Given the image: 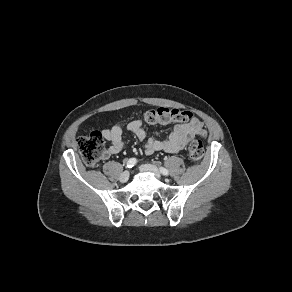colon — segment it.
I'll list each match as a JSON object with an SVG mask.
<instances>
[{
  "label": "colon",
  "instance_id": "obj_1",
  "mask_svg": "<svg viewBox=\"0 0 292 292\" xmlns=\"http://www.w3.org/2000/svg\"><path fill=\"white\" fill-rule=\"evenodd\" d=\"M184 111L178 109L158 108L144 113V119L148 123H168L181 120ZM77 146L82 159L88 165H95L105 155L103 136L99 131H93L89 135L77 139ZM204 155V145L201 139H193L188 146V156L193 163L199 162Z\"/></svg>",
  "mask_w": 292,
  "mask_h": 292
}]
</instances>
